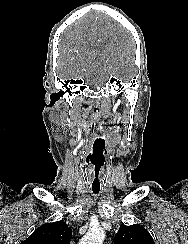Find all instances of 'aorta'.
I'll return each instance as SVG.
<instances>
[{
	"label": "aorta",
	"instance_id": "obj_1",
	"mask_svg": "<svg viewBox=\"0 0 188 244\" xmlns=\"http://www.w3.org/2000/svg\"><path fill=\"white\" fill-rule=\"evenodd\" d=\"M105 232L100 227L90 228L79 244H103Z\"/></svg>",
	"mask_w": 188,
	"mask_h": 244
}]
</instances>
